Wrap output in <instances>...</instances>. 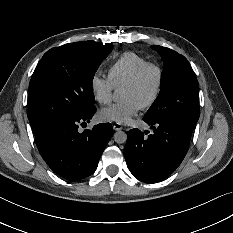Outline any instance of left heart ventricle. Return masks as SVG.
Instances as JSON below:
<instances>
[{"label": "left heart ventricle", "mask_w": 233, "mask_h": 233, "mask_svg": "<svg viewBox=\"0 0 233 233\" xmlns=\"http://www.w3.org/2000/svg\"><path fill=\"white\" fill-rule=\"evenodd\" d=\"M158 80L157 71L148 69L136 86L122 87L121 99L134 98L142 105L153 96Z\"/></svg>", "instance_id": "obj_1"}]
</instances>
